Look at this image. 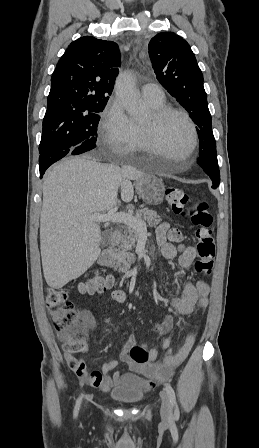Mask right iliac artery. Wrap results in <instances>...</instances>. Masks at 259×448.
<instances>
[{
    "label": "right iliac artery",
    "mask_w": 259,
    "mask_h": 448,
    "mask_svg": "<svg viewBox=\"0 0 259 448\" xmlns=\"http://www.w3.org/2000/svg\"><path fill=\"white\" fill-rule=\"evenodd\" d=\"M81 400H82V397H79V399H78L77 402H76V406H75V409H74V417H77V414H78V410H79V407H80Z\"/></svg>",
    "instance_id": "82829eb1"
}]
</instances>
